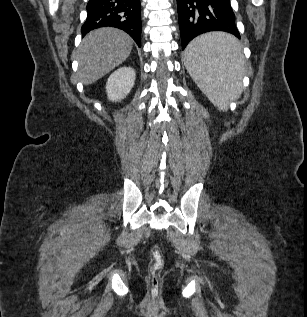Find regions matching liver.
<instances>
[{
  "label": "liver",
  "mask_w": 307,
  "mask_h": 317,
  "mask_svg": "<svg viewBox=\"0 0 307 317\" xmlns=\"http://www.w3.org/2000/svg\"><path fill=\"white\" fill-rule=\"evenodd\" d=\"M133 47L132 38L112 27L95 29L78 49V76L84 85L94 83L123 63Z\"/></svg>",
  "instance_id": "1"
}]
</instances>
